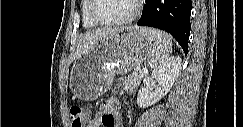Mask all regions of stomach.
Returning a JSON list of instances; mask_svg holds the SVG:
<instances>
[{
    "instance_id": "0dacf381",
    "label": "stomach",
    "mask_w": 243,
    "mask_h": 127,
    "mask_svg": "<svg viewBox=\"0 0 243 127\" xmlns=\"http://www.w3.org/2000/svg\"><path fill=\"white\" fill-rule=\"evenodd\" d=\"M150 30L123 28L77 57L69 83L74 96L84 101L95 100L110 87L116 74L123 75L140 66L153 50V42L147 36Z\"/></svg>"
}]
</instances>
